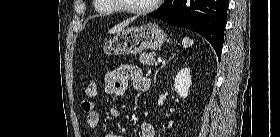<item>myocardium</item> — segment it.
Masks as SVG:
<instances>
[{
	"label": "myocardium",
	"mask_w": 280,
	"mask_h": 137,
	"mask_svg": "<svg viewBox=\"0 0 280 137\" xmlns=\"http://www.w3.org/2000/svg\"><path fill=\"white\" fill-rule=\"evenodd\" d=\"M160 2L161 0H153V2L149 6L140 7V8H128L124 6H117V7L120 11L128 14H147L155 10Z\"/></svg>",
	"instance_id": "1"
}]
</instances>
